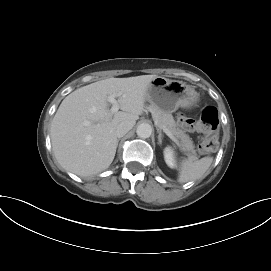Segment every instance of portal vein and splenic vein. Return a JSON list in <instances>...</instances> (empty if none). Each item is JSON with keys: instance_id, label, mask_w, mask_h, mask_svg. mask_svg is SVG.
I'll use <instances>...</instances> for the list:
<instances>
[{"instance_id": "1", "label": "portal vein and splenic vein", "mask_w": 271, "mask_h": 271, "mask_svg": "<svg viewBox=\"0 0 271 271\" xmlns=\"http://www.w3.org/2000/svg\"><path fill=\"white\" fill-rule=\"evenodd\" d=\"M115 97H116L115 95H110V96L107 97V101L112 104V107L110 109L111 114H114V113L118 112V110H119V105H118L117 100L115 99ZM163 131L174 142H176V143L178 142V140L166 128H163Z\"/></svg>"}]
</instances>
